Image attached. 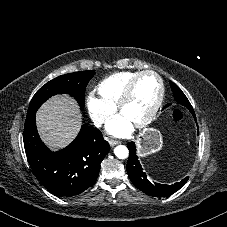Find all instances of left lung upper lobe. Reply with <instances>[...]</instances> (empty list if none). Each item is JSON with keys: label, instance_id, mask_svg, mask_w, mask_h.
Returning <instances> with one entry per match:
<instances>
[{"label": "left lung upper lobe", "instance_id": "left-lung-upper-lobe-1", "mask_svg": "<svg viewBox=\"0 0 227 227\" xmlns=\"http://www.w3.org/2000/svg\"><path fill=\"white\" fill-rule=\"evenodd\" d=\"M170 86H171L175 101L178 104H181L187 107L190 110V112H194L189 100L187 99L185 94L181 91V89L177 85H175L172 81H170ZM169 105L170 104H167L166 107Z\"/></svg>", "mask_w": 227, "mask_h": 227}]
</instances>
